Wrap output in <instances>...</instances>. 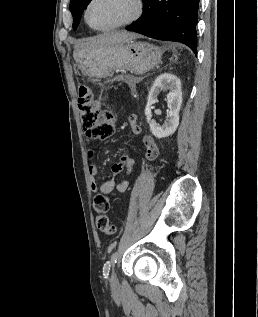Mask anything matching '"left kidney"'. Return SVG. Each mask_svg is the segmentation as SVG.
<instances>
[{"label": "left kidney", "mask_w": 258, "mask_h": 317, "mask_svg": "<svg viewBox=\"0 0 258 317\" xmlns=\"http://www.w3.org/2000/svg\"><path fill=\"white\" fill-rule=\"evenodd\" d=\"M161 88L169 90L166 98L169 114L166 116L167 122H164L162 126H156L155 122H151V118L153 116L151 106L157 102V92H159ZM181 104L182 88L180 78H178L176 74H171V72H162V74L157 76L155 82H153V86H151L149 90L144 110L147 122H149L150 130L154 136L162 138V136H170V134L175 132L179 124V110L181 108Z\"/></svg>", "instance_id": "obj_1"}]
</instances>
